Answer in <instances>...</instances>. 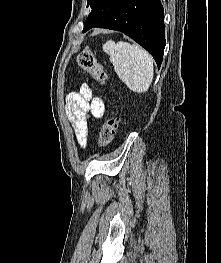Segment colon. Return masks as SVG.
Listing matches in <instances>:
<instances>
[{
	"label": "colon",
	"instance_id": "colon-1",
	"mask_svg": "<svg viewBox=\"0 0 221 263\" xmlns=\"http://www.w3.org/2000/svg\"><path fill=\"white\" fill-rule=\"evenodd\" d=\"M78 65L85 71L89 73V75L100 85H104L107 81V74L104 70V67L96 57L93 51L89 49L83 50L77 59ZM117 128V118L109 117L104 122L102 129L99 135V145L107 146L109 145L115 136Z\"/></svg>",
	"mask_w": 221,
	"mask_h": 263
}]
</instances>
